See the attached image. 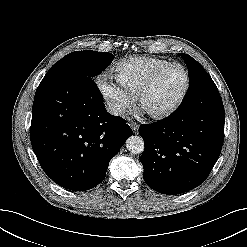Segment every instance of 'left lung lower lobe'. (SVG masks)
Here are the masks:
<instances>
[{"label":"left lung lower lobe","instance_id":"left-lung-lower-lobe-1","mask_svg":"<svg viewBox=\"0 0 247 247\" xmlns=\"http://www.w3.org/2000/svg\"><path fill=\"white\" fill-rule=\"evenodd\" d=\"M195 100L182 103L168 118L140 126L145 141L144 181L167 195L187 192L208 177L224 140L225 113L212 80L193 88Z\"/></svg>","mask_w":247,"mask_h":247}]
</instances>
